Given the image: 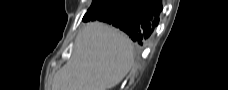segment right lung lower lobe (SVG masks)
Masks as SVG:
<instances>
[{
    "label": "right lung lower lobe",
    "mask_w": 228,
    "mask_h": 90,
    "mask_svg": "<svg viewBox=\"0 0 228 90\" xmlns=\"http://www.w3.org/2000/svg\"><path fill=\"white\" fill-rule=\"evenodd\" d=\"M161 11V0H101L99 5L92 3L83 21L111 24L143 45L158 25Z\"/></svg>",
    "instance_id": "right-lung-lower-lobe-1"
}]
</instances>
